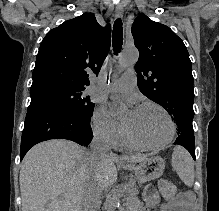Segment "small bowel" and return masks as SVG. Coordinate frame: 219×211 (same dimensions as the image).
<instances>
[{"mask_svg":"<svg viewBox=\"0 0 219 211\" xmlns=\"http://www.w3.org/2000/svg\"><path fill=\"white\" fill-rule=\"evenodd\" d=\"M146 201L147 209L144 211H149L151 208H157L158 211H193L195 204L194 196L190 193L181 194L177 201L160 204V197L153 189L147 191Z\"/></svg>","mask_w":219,"mask_h":211,"instance_id":"small-bowel-1","label":"small bowel"}]
</instances>
